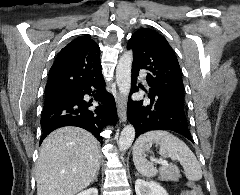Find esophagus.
<instances>
[{
  "mask_svg": "<svg viewBox=\"0 0 240 195\" xmlns=\"http://www.w3.org/2000/svg\"><path fill=\"white\" fill-rule=\"evenodd\" d=\"M127 99L118 94L117 95V112H118V117H119V121L121 123L126 122V115H127Z\"/></svg>",
  "mask_w": 240,
  "mask_h": 195,
  "instance_id": "34e87169",
  "label": "esophagus"
}]
</instances>
